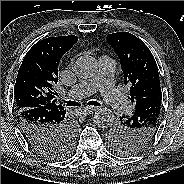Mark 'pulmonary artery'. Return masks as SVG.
I'll return each instance as SVG.
<instances>
[{"label":"pulmonary artery","instance_id":"pulmonary-artery-1","mask_svg":"<svg viewBox=\"0 0 184 184\" xmlns=\"http://www.w3.org/2000/svg\"><path fill=\"white\" fill-rule=\"evenodd\" d=\"M115 67L116 63L112 58L108 56L100 57L97 73L92 78L81 81L73 86L69 90V96L73 98H83L100 90L104 99L114 112L129 113L132 109L131 104L126 97L117 90L113 83Z\"/></svg>","mask_w":184,"mask_h":184}]
</instances>
